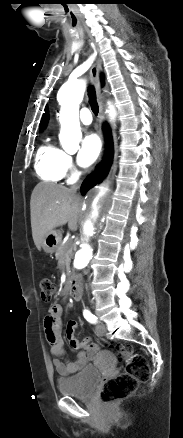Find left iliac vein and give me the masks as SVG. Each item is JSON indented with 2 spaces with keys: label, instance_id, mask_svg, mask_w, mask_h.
Returning a JSON list of instances; mask_svg holds the SVG:
<instances>
[{
  "label": "left iliac vein",
  "instance_id": "obj_1",
  "mask_svg": "<svg viewBox=\"0 0 183 438\" xmlns=\"http://www.w3.org/2000/svg\"><path fill=\"white\" fill-rule=\"evenodd\" d=\"M96 333L98 336H104L106 333V326L103 323H98L96 325Z\"/></svg>",
  "mask_w": 183,
  "mask_h": 438
}]
</instances>
